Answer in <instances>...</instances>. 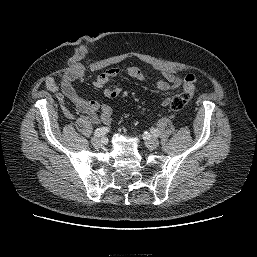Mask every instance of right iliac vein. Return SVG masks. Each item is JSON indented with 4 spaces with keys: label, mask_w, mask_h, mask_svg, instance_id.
Here are the masks:
<instances>
[{
    "label": "right iliac vein",
    "mask_w": 257,
    "mask_h": 257,
    "mask_svg": "<svg viewBox=\"0 0 257 257\" xmlns=\"http://www.w3.org/2000/svg\"><path fill=\"white\" fill-rule=\"evenodd\" d=\"M91 142H92L93 146L96 148H100L104 144V140L100 137H93Z\"/></svg>",
    "instance_id": "1"
}]
</instances>
